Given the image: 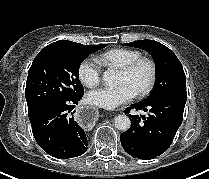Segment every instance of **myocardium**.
Returning a JSON list of instances; mask_svg holds the SVG:
<instances>
[{
	"label": "myocardium",
	"instance_id": "obj_1",
	"mask_svg": "<svg viewBox=\"0 0 209 179\" xmlns=\"http://www.w3.org/2000/svg\"><path fill=\"white\" fill-rule=\"evenodd\" d=\"M143 64H145L149 67L150 78H149L148 83L141 90H139L136 93V95L138 97H144V96L148 95L153 90V88L156 84V81H157L156 63L148 57L141 56L119 69V71L124 74H132L139 66H141Z\"/></svg>",
	"mask_w": 209,
	"mask_h": 179
}]
</instances>
